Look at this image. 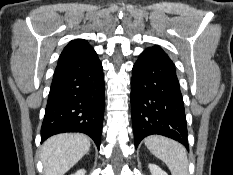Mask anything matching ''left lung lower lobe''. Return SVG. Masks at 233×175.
<instances>
[{
    "mask_svg": "<svg viewBox=\"0 0 233 175\" xmlns=\"http://www.w3.org/2000/svg\"><path fill=\"white\" fill-rule=\"evenodd\" d=\"M131 112L135 147L143 138L159 134L188 149L184 102L175 65L159 46L144 50L133 66Z\"/></svg>",
    "mask_w": 233,
    "mask_h": 175,
    "instance_id": "1",
    "label": "left lung lower lobe"
}]
</instances>
